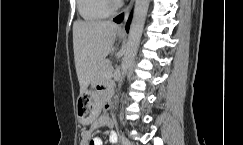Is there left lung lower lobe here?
<instances>
[{"label":"left lung lower lobe","mask_w":243,"mask_h":145,"mask_svg":"<svg viewBox=\"0 0 243 145\" xmlns=\"http://www.w3.org/2000/svg\"><path fill=\"white\" fill-rule=\"evenodd\" d=\"M124 14H120L119 16H117L116 18H114V21L117 23H121V21L123 20ZM129 25H130V20H128L127 25H126V30H129Z\"/></svg>","instance_id":"1"}]
</instances>
